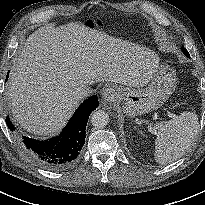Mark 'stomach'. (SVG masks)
I'll use <instances>...</instances> for the list:
<instances>
[{"label": "stomach", "instance_id": "stomach-1", "mask_svg": "<svg viewBox=\"0 0 205 205\" xmlns=\"http://www.w3.org/2000/svg\"><path fill=\"white\" fill-rule=\"evenodd\" d=\"M86 27L93 29L100 26L92 22V26L85 23ZM176 88V75L174 71L164 64H158L150 78V84L144 89H129L114 87L115 101L122 102L124 112L129 116H137L152 112L161 107Z\"/></svg>", "mask_w": 205, "mask_h": 205}]
</instances>
